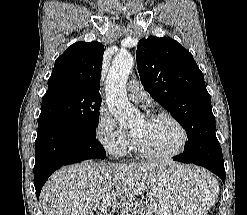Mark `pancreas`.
Here are the masks:
<instances>
[{
    "label": "pancreas",
    "mask_w": 247,
    "mask_h": 215,
    "mask_svg": "<svg viewBox=\"0 0 247 215\" xmlns=\"http://www.w3.org/2000/svg\"><path fill=\"white\" fill-rule=\"evenodd\" d=\"M131 212H133L134 215H153L151 205L143 200H134L122 209V215H127V213Z\"/></svg>",
    "instance_id": "pancreas-1"
}]
</instances>
